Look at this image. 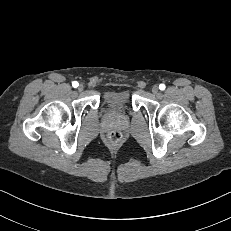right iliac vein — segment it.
<instances>
[{
    "instance_id": "right-iliac-vein-1",
    "label": "right iliac vein",
    "mask_w": 231,
    "mask_h": 231,
    "mask_svg": "<svg viewBox=\"0 0 231 231\" xmlns=\"http://www.w3.org/2000/svg\"><path fill=\"white\" fill-rule=\"evenodd\" d=\"M84 89V86L82 84L79 85L78 90L82 91Z\"/></svg>"
}]
</instances>
